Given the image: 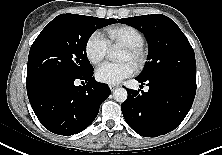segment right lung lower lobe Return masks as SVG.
I'll list each match as a JSON object with an SVG mask.
<instances>
[{
    "label": "right lung lower lobe",
    "instance_id": "1",
    "mask_svg": "<svg viewBox=\"0 0 222 155\" xmlns=\"http://www.w3.org/2000/svg\"><path fill=\"white\" fill-rule=\"evenodd\" d=\"M84 86H76L77 80ZM111 94L106 84L97 82L93 69L63 82L49 84L28 94L34 113L49 131L70 136L87 128L96 118L99 107Z\"/></svg>",
    "mask_w": 222,
    "mask_h": 155
}]
</instances>
